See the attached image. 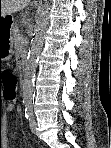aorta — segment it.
I'll list each match as a JSON object with an SVG mask.
<instances>
[{
    "label": "aorta",
    "instance_id": "762f6f07",
    "mask_svg": "<svg viewBox=\"0 0 111 148\" xmlns=\"http://www.w3.org/2000/svg\"><path fill=\"white\" fill-rule=\"evenodd\" d=\"M49 0L37 10L34 26V34L29 48L27 63L22 81L23 101L27 104L32 103L35 94V71L38 58L42 50L45 31L49 25Z\"/></svg>",
    "mask_w": 111,
    "mask_h": 148
}]
</instances>
